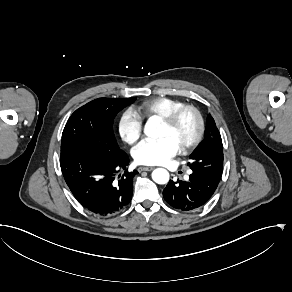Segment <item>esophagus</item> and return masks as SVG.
I'll return each mask as SVG.
<instances>
[{
    "label": "esophagus",
    "mask_w": 292,
    "mask_h": 292,
    "mask_svg": "<svg viewBox=\"0 0 292 292\" xmlns=\"http://www.w3.org/2000/svg\"><path fill=\"white\" fill-rule=\"evenodd\" d=\"M154 169V167H139L138 168V172H142V171H152Z\"/></svg>",
    "instance_id": "34e87169"
}]
</instances>
